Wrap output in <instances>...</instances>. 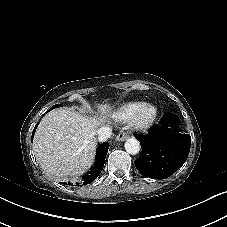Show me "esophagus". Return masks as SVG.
I'll use <instances>...</instances> for the list:
<instances>
[{"label":"esophagus","instance_id":"obj_1","mask_svg":"<svg viewBox=\"0 0 227 227\" xmlns=\"http://www.w3.org/2000/svg\"><path fill=\"white\" fill-rule=\"evenodd\" d=\"M127 138V133L121 132L119 135L116 137V141H124Z\"/></svg>","mask_w":227,"mask_h":227}]
</instances>
